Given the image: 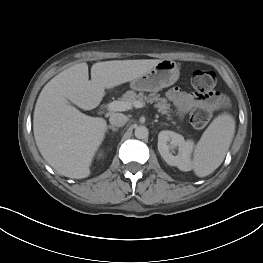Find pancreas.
I'll return each instance as SVG.
<instances>
[{"instance_id":"obj_1","label":"pancreas","mask_w":263,"mask_h":263,"mask_svg":"<svg viewBox=\"0 0 263 263\" xmlns=\"http://www.w3.org/2000/svg\"><path fill=\"white\" fill-rule=\"evenodd\" d=\"M123 102L133 103L134 101H140V102H148L153 103L155 102L154 107L158 109V111L162 115H167V119L171 120V112L170 104L167 102L166 98H161L156 93H151L149 95H145L144 93H136L134 91H127L123 96L120 98Z\"/></svg>"}]
</instances>
